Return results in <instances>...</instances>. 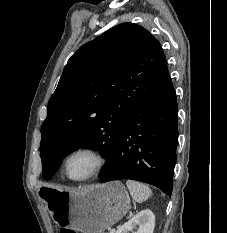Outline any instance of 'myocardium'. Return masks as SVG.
<instances>
[{"instance_id": "f54148a6", "label": "myocardium", "mask_w": 227, "mask_h": 233, "mask_svg": "<svg viewBox=\"0 0 227 233\" xmlns=\"http://www.w3.org/2000/svg\"><path fill=\"white\" fill-rule=\"evenodd\" d=\"M81 153H86V154L91 155L95 160V165L93 169L86 176L82 178H73L69 173V163H70V160L74 156H76L77 154H81ZM106 163H107V158L104 152L100 148L93 146V145H83V146H80L74 149L66 156L64 160V171H65L67 178L70 179L71 181L84 182L99 175L100 172L106 166Z\"/></svg>"}]
</instances>
